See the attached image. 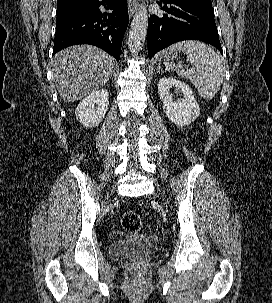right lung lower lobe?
I'll return each instance as SVG.
<instances>
[{
  "instance_id": "obj_1",
  "label": "right lung lower lobe",
  "mask_w": 272,
  "mask_h": 303,
  "mask_svg": "<svg viewBox=\"0 0 272 303\" xmlns=\"http://www.w3.org/2000/svg\"><path fill=\"white\" fill-rule=\"evenodd\" d=\"M104 1L92 3L57 14L53 54L76 44H91L102 48L117 61L120 59L122 39L128 26L127 0H114L107 7L112 13L104 14L99 6Z\"/></svg>"
}]
</instances>
